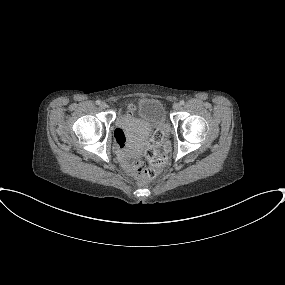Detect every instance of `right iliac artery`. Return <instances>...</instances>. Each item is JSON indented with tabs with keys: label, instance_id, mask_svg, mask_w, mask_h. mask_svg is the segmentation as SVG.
<instances>
[{
	"label": "right iliac artery",
	"instance_id": "82829eb1",
	"mask_svg": "<svg viewBox=\"0 0 285 285\" xmlns=\"http://www.w3.org/2000/svg\"><path fill=\"white\" fill-rule=\"evenodd\" d=\"M100 103H101L100 100H97V101H96V104H97V105H100Z\"/></svg>",
	"mask_w": 285,
	"mask_h": 285
}]
</instances>
